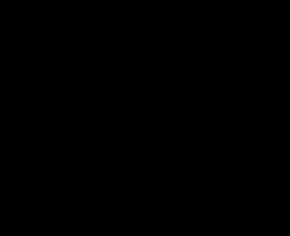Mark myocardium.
<instances>
[{"label": "myocardium", "instance_id": "myocardium-1", "mask_svg": "<svg viewBox=\"0 0 290 236\" xmlns=\"http://www.w3.org/2000/svg\"><path fill=\"white\" fill-rule=\"evenodd\" d=\"M179 65L180 64L176 65L172 70L170 69L168 73L165 75V77L162 79V81L156 86V88L153 91V99H156L161 93H163L169 87L173 73ZM195 72L197 78V87L195 94L191 102L187 105V107H185L179 114L175 115L174 118H181L187 115L196 103V100L199 96L201 89V76L198 69H195Z\"/></svg>", "mask_w": 290, "mask_h": 236}]
</instances>
